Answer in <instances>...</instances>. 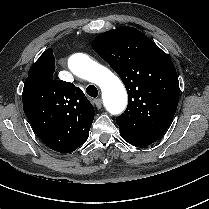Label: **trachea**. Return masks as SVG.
Returning <instances> with one entry per match:
<instances>
[{
  "label": "trachea",
  "instance_id": "obj_1",
  "mask_svg": "<svg viewBox=\"0 0 209 209\" xmlns=\"http://www.w3.org/2000/svg\"><path fill=\"white\" fill-rule=\"evenodd\" d=\"M86 93L91 97H97L98 96V90L94 85H89L86 88Z\"/></svg>",
  "mask_w": 209,
  "mask_h": 209
}]
</instances>
